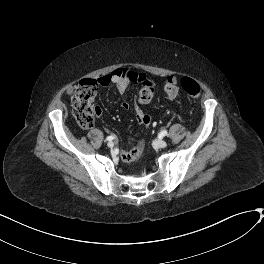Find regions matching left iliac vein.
Returning a JSON list of instances; mask_svg holds the SVG:
<instances>
[{
	"label": "left iliac vein",
	"mask_w": 264,
	"mask_h": 264,
	"mask_svg": "<svg viewBox=\"0 0 264 264\" xmlns=\"http://www.w3.org/2000/svg\"><path fill=\"white\" fill-rule=\"evenodd\" d=\"M155 145L159 148L167 147V142L165 140H157L155 141Z\"/></svg>",
	"instance_id": "left-iliac-vein-1"
}]
</instances>
